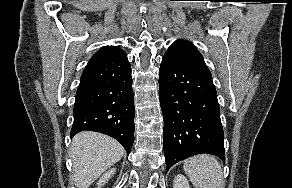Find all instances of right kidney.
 Masks as SVG:
<instances>
[{"instance_id":"ca27d5eb","label":"right kidney","mask_w":292,"mask_h":188,"mask_svg":"<svg viewBox=\"0 0 292 188\" xmlns=\"http://www.w3.org/2000/svg\"><path fill=\"white\" fill-rule=\"evenodd\" d=\"M115 173V169L112 168L110 170H108L107 172H105L102 177L99 179L98 183H97V188H101L102 186H104L109 179L114 175Z\"/></svg>"}]
</instances>
